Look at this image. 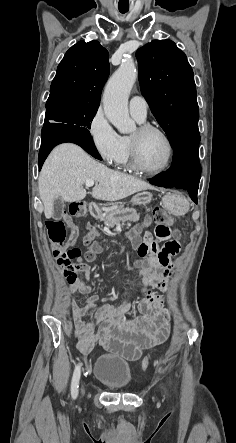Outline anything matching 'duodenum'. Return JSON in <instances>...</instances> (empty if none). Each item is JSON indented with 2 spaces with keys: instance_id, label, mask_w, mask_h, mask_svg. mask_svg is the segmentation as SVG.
Wrapping results in <instances>:
<instances>
[{
  "instance_id": "410a0bca",
  "label": "duodenum",
  "mask_w": 236,
  "mask_h": 443,
  "mask_svg": "<svg viewBox=\"0 0 236 443\" xmlns=\"http://www.w3.org/2000/svg\"><path fill=\"white\" fill-rule=\"evenodd\" d=\"M89 211H90L91 217H93V218L99 217L101 215V207L95 203L89 204Z\"/></svg>"
}]
</instances>
